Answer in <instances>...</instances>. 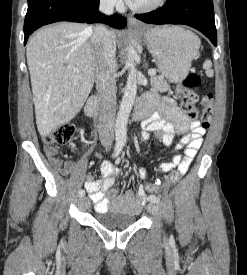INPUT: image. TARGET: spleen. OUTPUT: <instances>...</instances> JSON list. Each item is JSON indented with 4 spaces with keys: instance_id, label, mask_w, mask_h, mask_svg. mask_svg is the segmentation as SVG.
Returning <instances> with one entry per match:
<instances>
[{
    "instance_id": "1",
    "label": "spleen",
    "mask_w": 247,
    "mask_h": 275,
    "mask_svg": "<svg viewBox=\"0 0 247 275\" xmlns=\"http://www.w3.org/2000/svg\"><path fill=\"white\" fill-rule=\"evenodd\" d=\"M211 67H212V62L210 60H206L203 64V68L206 70V74L210 76L213 75V70L211 69Z\"/></svg>"
}]
</instances>
